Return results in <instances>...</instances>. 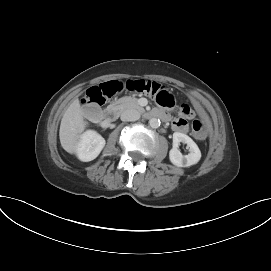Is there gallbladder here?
Segmentation results:
<instances>
[{
  "label": "gallbladder",
  "instance_id": "1",
  "mask_svg": "<svg viewBox=\"0 0 271 271\" xmlns=\"http://www.w3.org/2000/svg\"><path fill=\"white\" fill-rule=\"evenodd\" d=\"M89 109V114H88V117L91 118V119H98L99 116V112L100 110L97 108V107H94V108H88Z\"/></svg>",
  "mask_w": 271,
  "mask_h": 271
}]
</instances>
